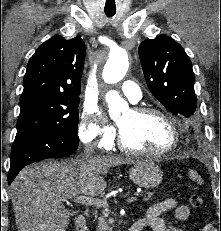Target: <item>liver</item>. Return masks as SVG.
Listing matches in <instances>:
<instances>
[{
  "instance_id": "6515ba94",
  "label": "liver",
  "mask_w": 221,
  "mask_h": 231,
  "mask_svg": "<svg viewBox=\"0 0 221 231\" xmlns=\"http://www.w3.org/2000/svg\"><path fill=\"white\" fill-rule=\"evenodd\" d=\"M131 163L133 160L107 155L25 167L10 186L19 231H66L70 213L63 200L102 193L108 169Z\"/></svg>"
}]
</instances>
